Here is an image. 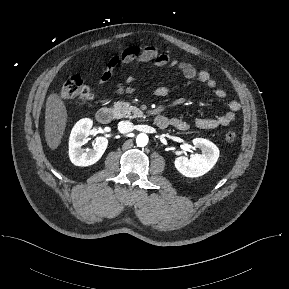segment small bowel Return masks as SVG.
<instances>
[{
	"label": "small bowel",
	"mask_w": 289,
	"mask_h": 289,
	"mask_svg": "<svg viewBox=\"0 0 289 289\" xmlns=\"http://www.w3.org/2000/svg\"><path fill=\"white\" fill-rule=\"evenodd\" d=\"M143 64L152 63L155 67H172L177 68L181 71L187 79H195L198 82L204 84L207 88L214 91V95L223 99L226 97L227 93L221 88H217V82L210 75L208 71L198 70L194 65L188 62L178 61L170 57L166 53H161L154 46L137 47L131 46L127 47L118 53L114 54L107 63L106 69L103 71L98 85L102 86L108 83L114 74L117 66L125 64ZM127 85L118 82L116 85L117 94H131L133 92V87L130 85L133 82V77H128L126 79ZM154 94L157 97H165L169 94V88L166 86H159L155 89ZM240 103L233 100L228 105V110L215 118H197L194 120V126L203 130H211L219 127L228 126L236 117V113L240 110ZM170 125L178 130H187L189 124L181 118H171Z\"/></svg>",
	"instance_id": "obj_1"
}]
</instances>
